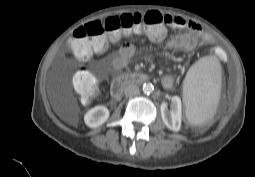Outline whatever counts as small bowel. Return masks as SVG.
I'll list each match as a JSON object with an SVG mask.
<instances>
[{
    "label": "small bowel",
    "instance_id": "c3829d8e",
    "mask_svg": "<svg viewBox=\"0 0 255 177\" xmlns=\"http://www.w3.org/2000/svg\"><path fill=\"white\" fill-rule=\"evenodd\" d=\"M165 19L167 21V26L184 29L187 30L188 33L177 34L171 37L165 43L166 50H185L191 51L193 50L200 42L204 43H212L213 39L209 34H204L202 32L201 26L196 22L172 15H165ZM164 34L159 39L154 40H162L165 36ZM102 52V51H101ZM135 47L132 44L126 43L123 44L118 53L115 55L113 59V67L116 70H121L125 68L130 61L135 57ZM175 85L174 78L171 75H165L162 78V86L165 89H172Z\"/></svg>",
    "mask_w": 255,
    "mask_h": 177
}]
</instances>
